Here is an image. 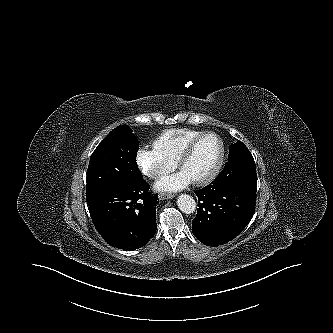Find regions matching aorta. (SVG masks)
Instances as JSON below:
<instances>
[{
  "mask_svg": "<svg viewBox=\"0 0 333 333\" xmlns=\"http://www.w3.org/2000/svg\"><path fill=\"white\" fill-rule=\"evenodd\" d=\"M178 208L185 214H191L196 209V202L192 196L182 194L177 199Z\"/></svg>",
  "mask_w": 333,
  "mask_h": 333,
  "instance_id": "obj_1",
  "label": "aorta"
}]
</instances>
